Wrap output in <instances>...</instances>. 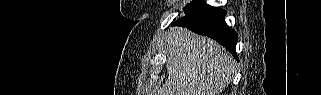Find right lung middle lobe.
Returning a JSON list of instances; mask_svg holds the SVG:
<instances>
[{
	"mask_svg": "<svg viewBox=\"0 0 321 95\" xmlns=\"http://www.w3.org/2000/svg\"><path fill=\"white\" fill-rule=\"evenodd\" d=\"M206 6H208V5L204 2V0H194L185 7V9H184L185 16L184 17L190 16L194 13H197L200 10H202L203 8H205Z\"/></svg>",
	"mask_w": 321,
	"mask_h": 95,
	"instance_id": "dd1d6c3e",
	"label": "right lung middle lobe"
}]
</instances>
